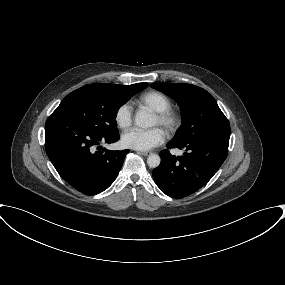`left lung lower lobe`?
Returning <instances> with one entry per match:
<instances>
[{
    "mask_svg": "<svg viewBox=\"0 0 285 285\" xmlns=\"http://www.w3.org/2000/svg\"><path fill=\"white\" fill-rule=\"evenodd\" d=\"M229 142L192 140L186 144L170 142L168 149H185L183 156L169 150L160 152L161 164L153 170V178L162 192L172 198L189 196L203 187L217 172L228 154Z\"/></svg>",
    "mask_w": 285,
    "mask_h": 285,
    "instance_id": "1",
    "label": "left lung lower lobe"
}]
</instances>
